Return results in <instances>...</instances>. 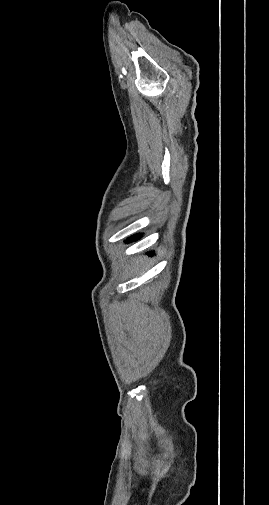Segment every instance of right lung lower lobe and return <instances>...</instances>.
Wrapping results in <instances>:
<instances>
[{
	"mask_svg": "<svg viewBox=\"0 0 269 505\" xmlns=\"http://www.w3.org/2000/svg\"><path fill=\"white\" fill-rule=\"evenodd\" d=\"M139 237H141V235H139V236H138V235H134V236H132L131 238H129V239L127 240V242H132L133 240H138V238H139Z\"/></svg>",
	"mask_w": 269,
	"mask_h": 505,
	"instance_id": "obj_1",
	"label": "right lung lower lobe"
}]
</instances>
